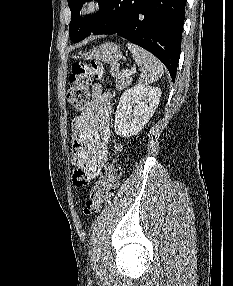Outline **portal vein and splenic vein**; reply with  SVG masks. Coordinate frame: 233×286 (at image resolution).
Here are the masks:
<instances>
[{"mask_svg": "<svg viewBox=\"0 0 233 286\" xmlns=\"http://www.w3.org/2000/svg\"><path fill=\"white\" fill-rule=\"evenodd\" d=\"M135 71H133V70H125L124 72H123V74H124V76H126V77H129L131 74H133Z\"/></svg>", "mask_w": 233, "mask_h": 286, "instance_id": "1", "label": "portal vein and splenic vein"}]
</instances>
